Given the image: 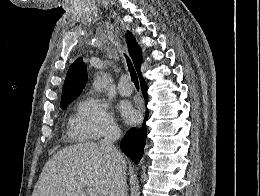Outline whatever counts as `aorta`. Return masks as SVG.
<instances>
[{"mask_svg": "<svg viewBox=\"0 0 260 196\" xmlns=\"http://www.w3.org/2000/svg\"><path fill=\"white\" fill-rule=\"evenodd\" d=\"M105 82L103 81L102 77L100 75H96L94 81H93V88L98 91L101 92L103 90V88L105 87Z\"/></svg>", "mask_w": 260, "mask_h": 196, "instance_id": "obj_1", "label": "aorta"}]
</instances>
